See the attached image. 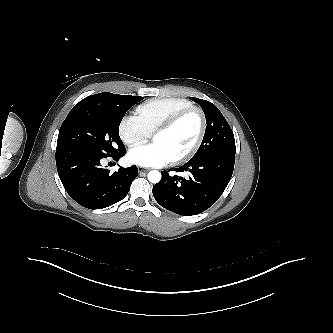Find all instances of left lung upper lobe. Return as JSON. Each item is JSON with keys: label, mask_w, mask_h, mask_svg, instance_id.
Here are the masks:
<instances>
[{"label": "left lung upper lobe", "mask_w": 333, "mask_h": 333, "mask_svg": "<svg viewBox=\"0 0 333 333\" xmlns=\"http://www.w3.org/2000/svg\"><path fill=\"white\" fill-rule=\"evenodd\" d=\"M191 99L200 104L207 122L201 146L191 159L217 153L235 154L234 134L219 109L209 101L193 97Z\"/></svg>", "instance_id": "1"}]
</instances>
